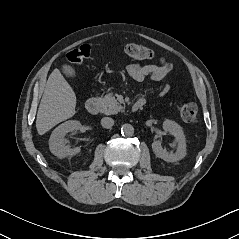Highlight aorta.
I'll use <instances>...</instances> for the list:
<instances>
[{"label":"aorta","mask_w":239,"mask_h":239,"mask_svg":"<svg viewBox=\"0 0 239 239\" xmlns=\"http://www.w3.org/2000/svg\"><path fill=\"white\" fill-rule=\"evenodd\" d=\"M121 133L125 136H132L134 134V127L131 124H123L121 127Z\"/></svg>","instance_id":"1"}]
</instances>
